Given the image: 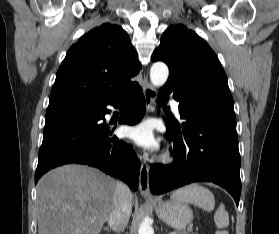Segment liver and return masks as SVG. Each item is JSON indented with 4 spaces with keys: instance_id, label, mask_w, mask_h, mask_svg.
<instances>
[{
    "instance_id": "liver-1",
    "label": "liver",
    "mask_w": 279,
    "mask_h": 234,
    "mask_svg": "<svg viewBox=\"0 0 279 234\" xmlns=\"http://www.w3.org/2000/svg\"><path fill=\"white\" fill-rule=\"evenodd\" d=\"M116 183L83 165L48 172L37 185L38 234H99L112 211Z\"/></svg>"
}]
</instances>
